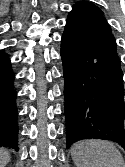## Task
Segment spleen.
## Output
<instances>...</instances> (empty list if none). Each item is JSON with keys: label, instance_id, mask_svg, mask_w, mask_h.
<instances>
[{"label": "spleen", "instance_id": "1", "mask_svg": "<svg viewBox=\"0 0 125 167\" xmlns=\"http://www.w3.org/2000/svg\"><path fill=\"white\" fill-rule=\"evenodd\" d=\"M70 153L77 167H125L120 151L109 141L82 140L73 144Z\"/></svg>", "mask_w": 125, "mask_h": 167}]
</instances>
